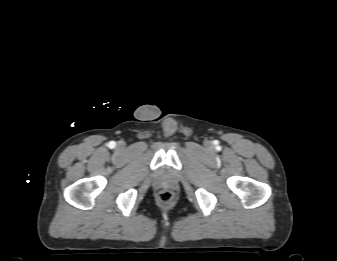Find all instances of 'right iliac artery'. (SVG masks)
Wrapping results in <instances>:
<instances>
[{
    "label": "right iliac artery",
    "instance_id": "82829eb1",
    "mask_svg": "<svg viewBox=\"0 0 337 261\" xmlns=\"http://www.w3.org/2000/svg\"><path fill=\"white\" fill-rule=\"evenodd\" d=\"M115 145H116V143H115L114 141H111V142L109 143V147H110V148H114Z\"/></svg>",
    "mask_w": 337,
    "mask_h": 261
}]
</instances>
